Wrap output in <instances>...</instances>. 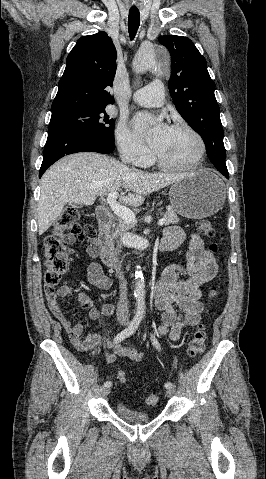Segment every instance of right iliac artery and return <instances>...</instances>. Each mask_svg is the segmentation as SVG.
<instances>
[{
	"label": "right iliac artery",
	"mask_w": 266,
	"mask_h": 479,
	"mask_svg": "<svg viewBox=\"0 0 266 479\" xmlns=\"http://www.w3.org/2000/svg\"><path fill=\"white\" fill-rule=\"evenodd\" d=\"M140 322H141V316L140 315H135L134 318L132 319V321L130 322V324L128 325V327L125 328L123 331H121L120 333H118L115 336L114 342L119 343V342L123 341L125 338L131 336L136 331V329L138 328ZM111 385H112V383L110 381H106L104 383V386H106V387H110Z\"/></svg>",
	"instance_id": "obj_1"
}]
</instances>
